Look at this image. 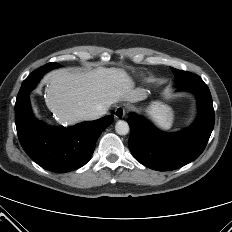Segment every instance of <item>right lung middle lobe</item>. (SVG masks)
Here are the masks:
<instances>
[{"label": "right lung middle lobe", "mask_w": 232, "mask_h": 232, "mask_svg": "<svg viewBox=\"0 0 232 232\" xmlns=\"http://www.w3.org/2000/svg\"><path fill=\"white\" fill-rule=\"evenodd\" d=\"M60 65L58 63H48L40 68H38L36 71H34L32 74H30L24 82H30L36 79H41V77L48 72L49 70L53 68H58Z\"/></svg>", "instance_id": "1"}]
</instances>
